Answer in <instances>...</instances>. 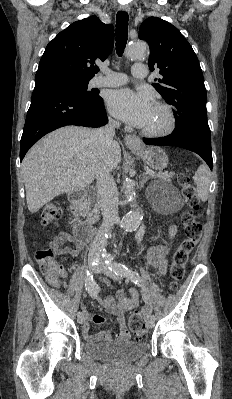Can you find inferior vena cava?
<instances>
[{
	"label": "inferior vena cava",
	"mask_w": 232,
	"mask_h": 399,
	"mask_svg": "<svg viewBox=\"0 0 232 399\" xmlns=\"http://www.w3.org/2000/svg\"><path fill=\"white\" fill-rule=\"evenodd\" d=\"M119 126L120 122L109 120L107 126H103V128L96 130L93 136L96 140H99L100 144L110 146V144L114 142L115 130L119 128ZM96 178L98 194L101 201L103 223L100 227L102 235H97L99 241H93L91 247H89L88 255L90 263H93L92 259H95V261L100 260L97 253L107 248V239L104 237V233H107L118 219V200L113 176L109 174L108 170H98V172H96Z\"/></svg>",
	"instance_id": "inferior-vena-cava-1"
}]
</instances>
